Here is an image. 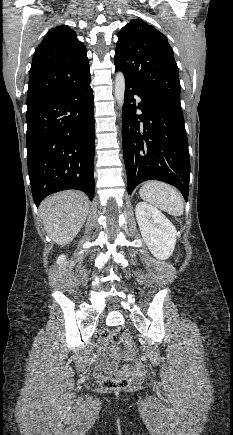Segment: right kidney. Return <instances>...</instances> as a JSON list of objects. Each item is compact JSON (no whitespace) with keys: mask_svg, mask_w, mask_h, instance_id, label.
<instances>
[{"mask_svg":"<svg viewBox=\"0 0 233 435\" xmlns=\"http://www.w3.org/2000/svg\"><path fill=\"white\" fill-rule=\"evenodd\" d=\"M66 260V256L65 255H61L58 257L57 259V264H61Z\"/></svg>","mask_w":233,"mask_h":435,"instance_id":"obj_1","label":"right kidney"}]
</instances>
